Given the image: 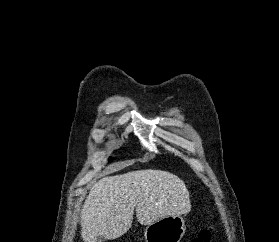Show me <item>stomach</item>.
I'll return each mask as SVG.
<instances>
[{
	"mask_svg": "<svg viewBox=\"0 0 279 242\" xmlns=\"http://www.w3.org/2000/svg\"><path fill=\"white\" fill-rule=\"evenodd\" d=\"M186 232L184 217L170 215L147 225L146 242H180Z\"/></svg>",
	"mask_w": 279,
	"mask_h": 242,
	"instance_id": "stomach-1",
	"label": "stomach"
}]
</instances>
